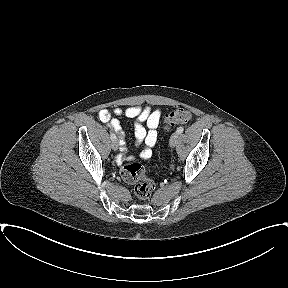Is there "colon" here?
Wrapping results in <instances>:
<instances>
[{"instance_id":"colon-1","label":"colon","mask_w":288,"mask_h":288,"mask_svg":"<svg viewBox=\"0 0 288 288\" xmlns=\"http://www.w3.org/2000/svg\"><path fill=\"white\" fill-rule=\"evenodd\" d=\"M192 119L190 111L180 108L165 115L164 123L166 127L176 124H186ZM122 179L127 183H133L134 193L140 200H147L151 197L155 184L146 177L145 169L140 163L124 164L120 169Z\"/></svg>"}]
</instances>
